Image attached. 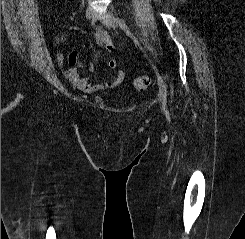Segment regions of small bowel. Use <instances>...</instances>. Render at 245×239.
Listing matches in <instances>:
<instances>
[{"label":"small bowel","mask_w":245,"mask_h":239,"mask_svg":"<svg viewBox=\"0 0 245 239\" xmlns=\"http://www.w3.org/2000/svg\"><path fill=\"white\" fill-rule=\"evenodd\" d=\"M95 38L98 44L105 48L106 50L114 53L116 51L115 46L113 45L110 35L103 28H97L95 32ZM56 61L58 67L62 70L64 77L76 88L85 92V93H94L106 89H114L121 85L125 79V72L123 70H118L112 79L104 84H92L89 81L87 75H82L78 68H84L88 72L94 71L93 63H82L78 60L77 52L72 51L68 55V67H64V57L61 54L56 55ZM107 66L110 69H115L117 66V61L114 57H110L107 60Z\"/></svg>","instance_id":"1"}]
</instances>
